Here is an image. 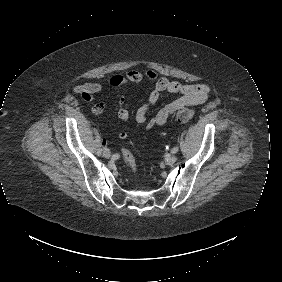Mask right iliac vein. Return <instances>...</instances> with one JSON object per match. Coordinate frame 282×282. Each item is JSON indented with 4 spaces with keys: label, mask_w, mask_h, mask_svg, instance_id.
<instances>
[{
    "label": "right iliac vein",
    "mask_w": 282,
    "mask_h": 282,
    "mask_svg": "<svg viewBox=\"0 0 282 282\" xmlns=\"http://www.w3.org/2000/svg\"><path fill=\"white\" fill-rule=\"evenodd\" d=\"M103 156L105 157V158H109L110 156H111V153H110V151L109 150H104L103 151Z\"/></svg>",
    "instance_id": "1"
}]
</instances>
